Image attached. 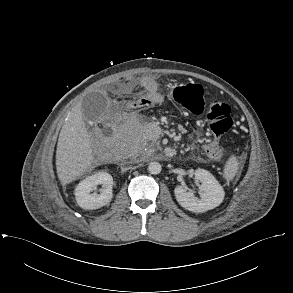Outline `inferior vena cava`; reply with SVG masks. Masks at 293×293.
<instances>
[{
  "mask_svg": "<svg viewBox=\"0 0 293 293\" xmlns=\"http://www.w3.org/2000/svg\"><path fill=\"white\" fill-rule=\"evenodd\" d=\"M121 169H122V171H126V170L131 169V167H122Z\"/></svg>",
  "mask_w": 293,
  "mask_h": 293,
  "instance_id": "inferior-vena-cava-1",
  "label": "inferior vena cava"
}]
</instances>
